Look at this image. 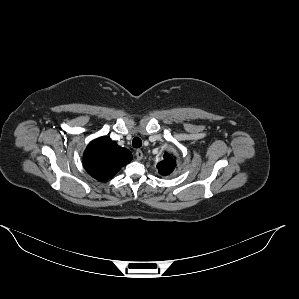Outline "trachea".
<instances>
[{
	"label": "trachea",
	"mask_w": 299,
	"mask_h": 299,
	"mask_svg": "<svg viewBox=\"0 0 299 299\" xmlns=\"http://www.w3.org/2000/svg\"><path fill=\"white\" fill-rule=\"evenodd\" d=\"M132 145L134 148H140L142 146V141L139 137H135L133 140H132Z\"/></svg>",
	"instance_id": "1"
}]
</instances>
